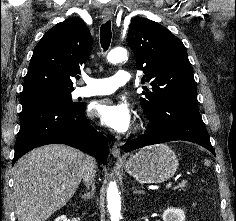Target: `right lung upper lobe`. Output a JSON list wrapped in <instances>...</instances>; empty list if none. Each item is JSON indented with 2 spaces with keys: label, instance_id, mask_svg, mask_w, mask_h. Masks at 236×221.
Returning a JSON list of instances; mask_svg holds the SVG:
<instances>
[{
  "label": "right lung upper lobe",
  "instance_id": "cb5924a9",
  "mask_svg": "<svg viewBox=\"0 0 236 221\" xmlns=\"http://www.w3.org/2000/svg\"><path fill=\"white\" fill-rule=\"evenodd\" d=\"M91 47L90 31L80 18L56 24L34 49L22 93L41 89L73 90L71 78L80 73Z\"/></svg>",
  "mask_w": 236,
  "mask_h": 221
}]
</instances>
